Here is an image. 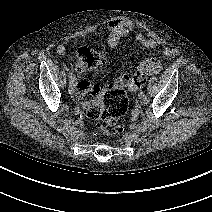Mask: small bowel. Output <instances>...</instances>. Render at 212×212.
<instances>
[{"instance_id": "1", "label": "small bowel", "mask_w": 212, "mask_h": 212, "mask_svg": "<svg viewBox=\"0 0 212 212\" xmlns=\"http://www.w3.org/2000/svg\"><path fill=\"white\" fill-rule=\"evenodd\" d=\"M107 30V45L109 48H115L121 39L129 35L133 37L135 42L147 49H154L158 46L156 39L146 36L142 32L138 31L132 23L125 20H111L108 23ZM56 52L61 56H65L68 54V49L64 45H59L56 48ZM162 53L165 57H172L175 54V50L173 48L166 47L163 49ZM162 68V64L159 60L146 58L139 64L137 75L146 77L147 75L159 73Z\"/></svg>"}]
</instances>
